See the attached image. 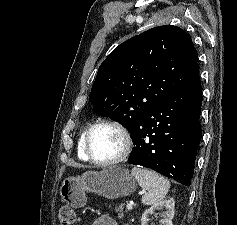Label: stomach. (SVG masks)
Masks as SVG:
<instances>
[{
	"mask_svg": "<svg viewBox=\"0 0 237 225\" xmlns=\"http://www.w3.org/2000/svg\"><path fill=\"white\" fill-rule=\"evenodd\" d=\"M136 180L129 170L111 166L101 171H87L79 177H68L60 186L62 200L73 208L86 205V192H92L107 199H116L133 194Z\"/></svg>",
	"mask_w": 237,
	"mask_h": 225,
	"instance_id": "1",
	"label": "stomach"
}]
</instances>
